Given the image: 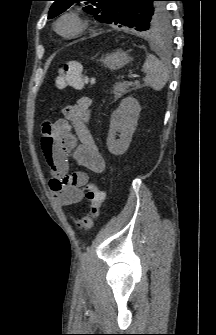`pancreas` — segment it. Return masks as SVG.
<instances>
[{"mask_svg": "<svg viewBox=\"0 0 216 335\" xmlns=\"http://www.w3.org/2000/svg\"><path fill=\"white\" fill-rule=\"evenodd\" d=\"M130 86L133 87L132 90L140 88V85L138 83H134V82H119V83H116L113 86V91H112V93L114 94L115 101H117L123 95L130 92L131 91L129 89Z\"/></svg>", "mask_w": 216, "mask_h": 335, "instance_id": "1", "label": "pancreas"}]
</instances>
